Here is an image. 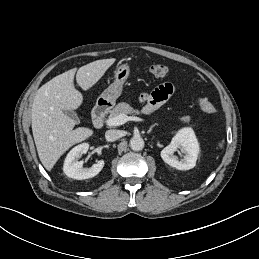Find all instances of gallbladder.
Here are the masks:
<instances>
[{
	"label": "gallbladder",
	"mask_w": 259,
	"mask_h": 259,
	"mask_svg": "<svg viewBox=\"0 0 259 259\" xmlns=\"http://www.w3.org/2000/svg\"><path fill=\"white\" fill-rule=\"evenodd\" d=\"M64 113H65L67 116H69L75 123H79V122H80V120H79L77 114H76L74 111H72V110H67V111H64Z\"/></svg>",
	"instance_id": "gallbladder-1"
}]
</instances>
